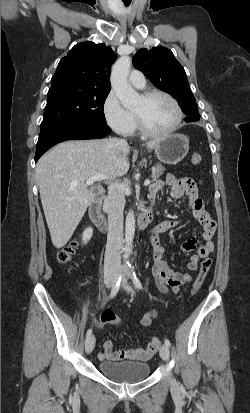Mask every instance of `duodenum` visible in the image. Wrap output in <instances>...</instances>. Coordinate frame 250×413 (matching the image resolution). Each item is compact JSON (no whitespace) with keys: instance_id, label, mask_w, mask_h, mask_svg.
Masks as SVG:
<instances>
[{"instance_id":"1","label":"duodenum","mask_w":250,"mask_h":413,"mask_svg":"<svg viewBox=\"0 0 250 413\" xmlns=\"http://www.w3.org/2000/svg\"><path fill=\"white\" fill-rule=\"evenodd\" d=\"M90 213L92 216V219L96 226L101 230V231H106L107 230V221L106 218L102 212V199H97L93 202V204L90 207ZM152 211L147 210L143 212L142 214L139 215L137 218V225L140 229H145L152 221Z\"/></svg>"}]
</instances>
